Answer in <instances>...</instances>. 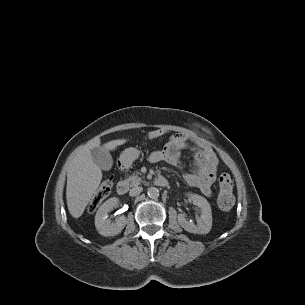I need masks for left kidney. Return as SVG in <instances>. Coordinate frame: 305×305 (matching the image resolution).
<instances>
[{"label":"left kidney","instance_id":"obj_1","mask_svg":"<svg viewBox=\"0 0 305 305\" xmlns=\"http://www.w3.org/2000/svg\"><path fill=\"white\" fill-rule=\"evenodd\" d=\"M192 203L200 210V216L196 218L197 224L188 221L185 214H178L177 220L179 225L187 232L194 234H207L212 228V212L208 201L197 194H188Z\"/></svg>","mask_w":305,"mask_h":305}]
</instances>
